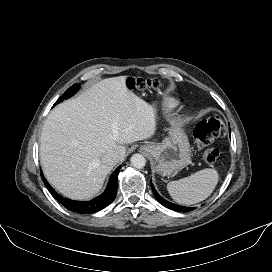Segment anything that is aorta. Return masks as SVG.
<instances>
[{
	"instance_id": "obj_1",
	"label": "aorta",
	"mask_w": 272,
	"mask_h": 272,
	"mask_svg": "<svg viewBox=\"0 0 272 272\" xmlns=\"http://www.w3.org/2000/svg\"><path fill=\"white\" fill-rule=\"evenodd\" d=\"M131 165L134 168L142 169L146 165V159L142 154H134L130 159Z\"/></svg>"
}]
</instances>
